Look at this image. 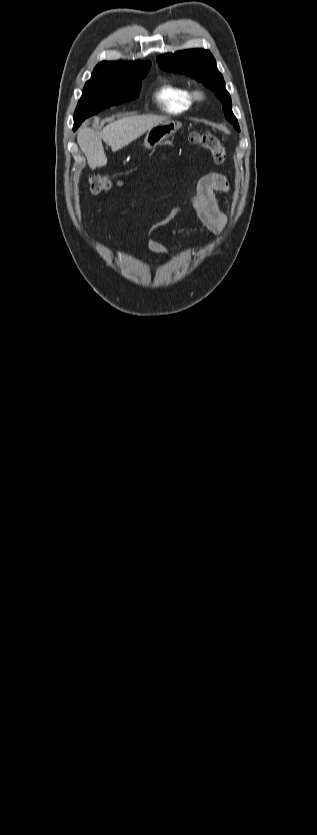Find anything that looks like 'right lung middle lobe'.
Segmentation results:
<instances>
[{"instance_id":"obj_1","label":"right lung middle lobe","mask_w":317,"mask_h":835,"mask_svg":"<svg viewBox=\"0 0 317 835\" xmlns=\"http://www.w3.org/2000/svg\"><path fill=\"white\" fill-rule=\"evenodd\" d=\"M145 65L133 71H115L92 76L86 82L74 114L76 130L86 118L112 105L135 99L139 95L141 80L149 71Z\"/></svg>"}]
</instances>
